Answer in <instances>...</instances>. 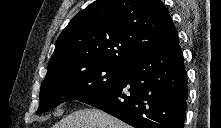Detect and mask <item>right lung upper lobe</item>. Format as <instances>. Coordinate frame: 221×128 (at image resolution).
I'll return each mask as SVG.
<instances>
[{
    "instance_id": "1",
    "label": "right lung upper lobe",
    "mask_w": 221,
    "mask_h": 128,
    "mask_svg": "<svg viewBox=\"0 0 221 128\" xmlns=\"http://www.w3.org/2000/svg\"><path fill=\"white\" fill-rule=\"evenodd\" d=\"M178 45V34L161 0H97L61 32L47 73L74 64L128 66Z\"/></svg>"
}]
</instances>
